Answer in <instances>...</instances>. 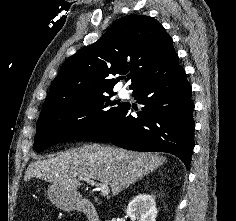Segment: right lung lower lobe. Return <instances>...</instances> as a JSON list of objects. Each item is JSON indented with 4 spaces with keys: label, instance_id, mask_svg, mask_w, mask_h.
I'll return each instance as SVG.
<instances>
[{
    "label": "right lung lower lobe",
    "instance_id": "obj_1",
    "mask_svg": "<svg viewBox=\"0 0 236 221\" xmlns=\"http://www.w3.org/2000/svg\"><path fill=\"white\" fill-rule=\"evenodd\" d=\"M131 89L137 102L144 105L138 117L131 116L132 108L126 103L85 141H111L122 148L141 152H168L180 158L188 168L194 148V103L178 55Z\"/></svg>",
    "mask_w": 236,
    "mask_h": 221
}]
</instances>
